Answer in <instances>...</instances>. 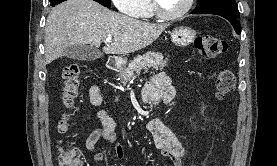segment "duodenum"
<instances>
[{"mask_svg":"<svg viewBox=\"0 0 277 166\" xmlns=\"http://www.w3.org/2000/svg\"><path fill=\"white\" fill-rule=\"evenodd\" d=\"M120 67L119 61H117L115 58H109L106 63V68L108 71H116ZM154 102H156V99H154Z\"/></svg>","mask_w":277,"mask_h":166,"instance_id":"1","label":"duodenum"}]
</instances>
